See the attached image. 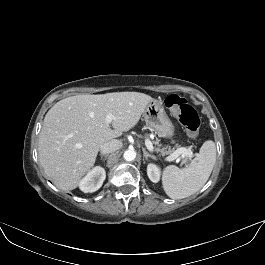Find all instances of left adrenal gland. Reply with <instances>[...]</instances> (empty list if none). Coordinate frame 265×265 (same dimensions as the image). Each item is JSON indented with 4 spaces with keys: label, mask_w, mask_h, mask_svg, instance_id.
Returning <instances> with one entry per match:
<instances>
[{
    "label": "left adrenal gland",
    "mask_w": 265,
    "mask_h": 265,
    "mask_svg": "<svg viewBox=\"0 0 265 265\" xmlns=\"http://www.w3.org/2000/svg\"><path fill=\"white\" fill-rule=\"evenodd\" d=\"M143 155H144L145 160H147L148 157H150V158H152L154 160L156 159V157L154 155H152L149 152H147L146 149H144V148H143Z\"/></svg>",
    "instance_id": "1"
}]
</instances>
